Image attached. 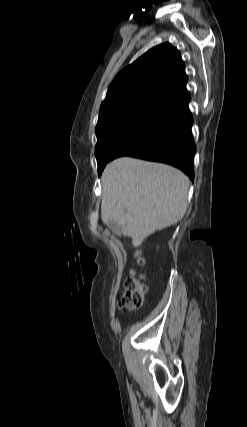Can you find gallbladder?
<instances>
[{
  "mask_svg": "<svg viewBox=\"0 0 247 427\" xmlns=\"http://www.w3.org/2000/svg\"><path fill=\"white\" fill-rule=\"evenodd\" d=\"M107 226L110 228V230L116 234V235H120L121 234V230L119 228V226L115 223V222H109L107 223Z\"/></svg>",
  "mask_w": 247,
  "mask_h": 427,
  "instance_id": "bac80fb5",
  "label": "gallbladder"
}]
</instances>
